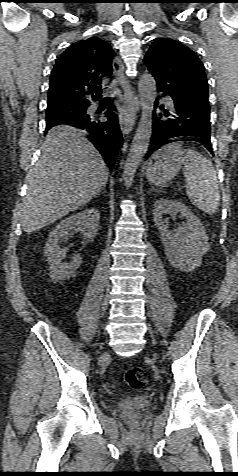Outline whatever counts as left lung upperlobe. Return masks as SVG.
<instances>
[{"instance_id": "left-lung-upper-lobe-1", "label": "left lung upper lobe", "mask_w": 238, "mask_h": 476, "mask_svg": "<svg viewBox=\"0 0 238 476\" xmlns=\"http://www.w3.org/2000/svg\"><path fill=\"white\" fill-rule=\"evenodd\" d=\"M144 64L152 73L159 92L184 107L209 111L205 68L187 46L170 38H159L150 46Z\"/></svg>"}]
</instances>
